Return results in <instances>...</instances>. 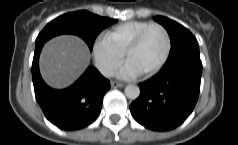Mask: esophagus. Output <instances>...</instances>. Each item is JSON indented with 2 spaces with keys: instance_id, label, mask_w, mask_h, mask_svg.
Returning <instances> with one entry per match:
<instances>
[{
  "instance_id": "obj_1",
  "label": "esophagus",
  "mask_w": 238,
  "mask_h": 145,
  "mask_svg": "<svg viewBox=\"0 0 238 145\" xmlns=\"http://www.w3.org/2000/svg\"><path fill=\"white\" fill-rule=\"evenodd\" d=\"M111 86H112L113 88H122V87L125 86V84L119 83V82H116V81H112V82H111Z\"/></svg>"
}]
</instances>
